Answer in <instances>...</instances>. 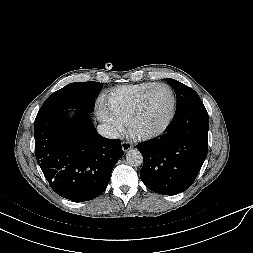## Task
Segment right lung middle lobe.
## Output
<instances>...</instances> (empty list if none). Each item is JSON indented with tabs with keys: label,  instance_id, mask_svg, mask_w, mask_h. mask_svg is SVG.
<instances>
[{
	"label": "right lung middle lobe",
	"instance_id": "obj_1",
	"mask_svg": "<svg viewBox=\"0 0 253 253\" xmlns=\"http://www.w3.org/2000/svg\"><path fill=\"white\" fill-rule=\"evenodd\" d=\"M101 88V83L93 81L68 84L51 94L40 110L60 108L91 112L94 109L95 97L99 94Z\"/></svg>",
	"mask_w": 253,
	"mask_h": 253
}]
</instances>
